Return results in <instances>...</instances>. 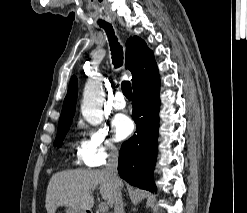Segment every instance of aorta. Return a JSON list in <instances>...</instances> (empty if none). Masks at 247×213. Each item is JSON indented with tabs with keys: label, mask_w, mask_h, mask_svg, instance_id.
Here are the masks:
<instances>
[{
	"label": "aorta",
	"mask_w": 247,
	"mask_h": 213,
	"mask_svg": "<svg viewBox=\"0 0 247 213\" xmlns=\"http://www.w3.org/2000/svg\"><path fill=\"white\" fill-rule=\"evenodd\" d=\"M104 96L101 78H89L83 92L81 112L85 120L91 125H98L102 121Z\"/></svg>",
	"instance_id": "762f6f07"
}]
</instances>
